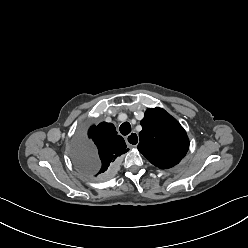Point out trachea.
Segmentation results:
<instances>
[{
	"label": "trachea",
	"instance_id": "obj_1",
	"mask_svg": "<svg viewBox=\"0 0 248 248\" xmlns=\"http://www.w3.org/2000/svg\"><path fill=\"white\" fill-rule=\"evenodd\" d=\"M120 132L122 135H128L131 132V125L129 122H124L120 125Z\"/></svg>",
	"mask_w": 248,
	"mask_h": 248
}]
</instances>
